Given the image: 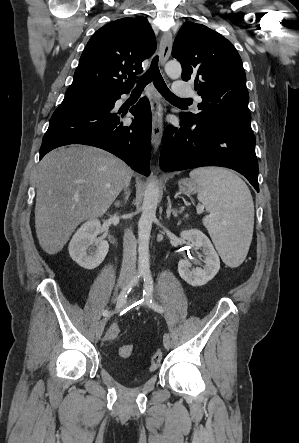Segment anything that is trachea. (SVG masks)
Wrapping results in <instances>:
<instances>
[{
  "mask_svg": "<svg viewBox=\"0 0 299 443\" xmlns=\"http://www.w3.org/2000/svg\"><path fill=\"white\" fill-rule=\"evenodd\" d=\"M159 57L155 56L151 62V66L148 71L140 77L138 80L137 86L134 91L142 92L144 87L153 81L155 88L159 91V93L169 101L173 102H190L189 99H182L174 95L169 88L167 87L158 67Z\"/></svg>",
  "mask_w": 299,
  "mask_h": 443,
  "instance_id": "obj_1",
  "label": "trachea"
}]
</instances>
